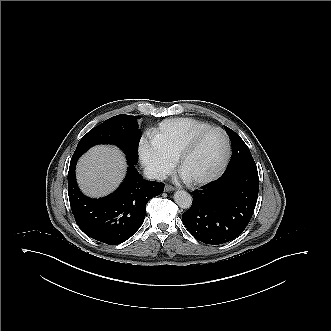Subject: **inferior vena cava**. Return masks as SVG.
<instances>
[{
  "mask_svg": "<svg viewBox=\"0 0 331 331\" xmlns=\"http://www.w3.org/2000/svg\"><path fill=\"white\" fill-rule=\"evenodd\" d=\"M144 177L147 180L162 181L166 179V173L160 167L154 165H147L143 170Z\"/></svg>",
  "mask_w": 331,
  "mask_h": 331,
  "instance_id": "inferior-vena-cava-1",
  "label": "inferior vena cava"
}]
</instances>
